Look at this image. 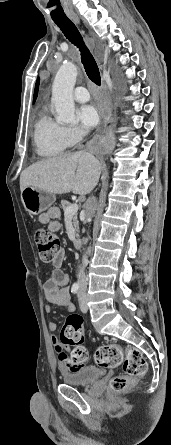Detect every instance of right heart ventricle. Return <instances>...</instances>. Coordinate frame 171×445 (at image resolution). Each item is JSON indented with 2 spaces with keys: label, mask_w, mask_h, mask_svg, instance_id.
Wrapping results in <instances>:
<instances>
[{
  "label": "right heart ventricle",
  "mask_w": 171,
  "mask_h": 445,
  "mask_svg": "<svg viewBox=\"0 0 171 445\" xmlns=\"http://www.w3.org/2000/svg\"><path fill=\"white\" fill-rule=\"evenodd\" d=\"M36 152L42 157L61 155L69 147L64 127L46 112H42L34 127Z\"/></svg>",
  "instance_id": "e07e8e85"
}]
</instances>
